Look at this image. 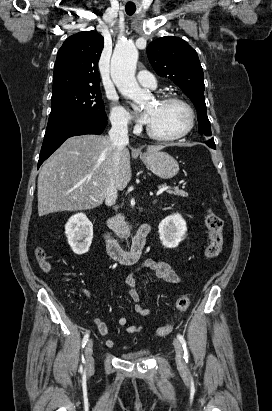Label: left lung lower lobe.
<instances>
[{
    "instance_id": "0a47b994",
    "label": "left lung lower lobe",
    "mask_w": 272,
    "mask_h": 411,
    "mask_svg": "<svg viewBox=\"0 0 272 411\" xmlns=\"http://www.w3.org/2000/svg\"><path fill=\"white\" fill-rule=\"evenodd\" d=\"M207 145H208L210 148L215 149V143H214V140H213V139H210V140L207 142Z\"/></svg>"
}]
</instances>
